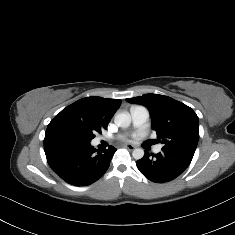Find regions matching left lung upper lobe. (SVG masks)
<instances>
[{
    "instance_id": "obj_1",
    "label": "left lung upper lobe",
    "mask_w": 235,
    "mask_h": 235,
    "mask_svg": "<svg viewBox=\"0 0 235 235\" xmlns=\"http://www.w3.org/2000/svg\"><path fill=\"white\" fill-rule=\"evenodd\" d=\"M126 101L149 109L152 129L157 133L158 142L164 145L162 149L193 157L199 140V122L192 108L159 94H144Z\"/></svg>"
}]
</instances>
